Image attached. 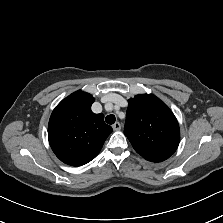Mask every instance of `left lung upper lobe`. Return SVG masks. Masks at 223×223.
Here are the masks:
<instances>
[{"instance_id":"5c2ea615","label":"left lung upper lobe","mask_w":223,"mask_h":223,"mask_svg":"<svg viewBox=\"0 0 223 223\" xmlns=\"http://www.w3.org/2000/svg\"><path fill=\"white\" fill-rule=\"evenodd\" d=\"M124 134L135 151L152 162L169 158L180 142L176 117L152 94L136 95L128 100Z\"/></svg>"}]
</instances>
